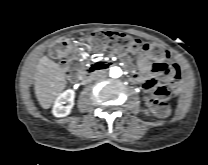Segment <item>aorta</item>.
Instances as JSON below:
<instances>
[{"label":"aorta","mask_w":208,"mask_h":165,"mask_svg":"<svg viewBox=\"0 0 208 165\" xmlns=\"http://www.w3.org/2000/svg\"><path fill=\"white\" fill-rule=\"evenodd\" d=\"M110 77L119 78L122 76V69L120 67H112L109 72Z\"/></svg>","instance_id":"1"}]
</instances>
